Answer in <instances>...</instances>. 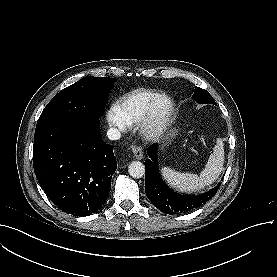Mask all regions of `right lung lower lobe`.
I'll use <instances>...</instances> for the list:
<instances>
[{
    "label": "right lung lower lobe",
    "mask_w": 277,
    "mask_h": 277,
    "mask_svg": "<svg viewBox=\"0 0 277 277\" xmlns=\"http://www.w3.org/2000/svg\"><path fill=\"white\" fill-rule=\"evenodd\" d=\"M100 135L98 117L37 124L33 167L51 201L73 216H89L106 202L117 163Z\"/></svg>",
    "instance_id": "obj_1"
}]
</instances>
